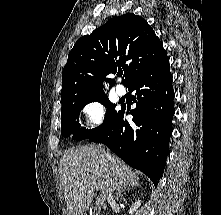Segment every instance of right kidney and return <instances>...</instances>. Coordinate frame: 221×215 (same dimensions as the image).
<instances>
[{
  "instance_id": "obj_1",
  "label": "right kidney",
  "mask_w": 221,
  "mask_h": 215,
  "mask_svg": "<svg viewBox=\"0 0 221 215\" xmlns=\"http://www.w3.org/2000/svg\"><path fill=\"white\" fill-rule=\"evenodd\" d=\"M141 205V200H138L137 202L134 203V205L130 208L129 213L132 215L136 210L140 207Z\"/></svg>"
}]
</instances>
